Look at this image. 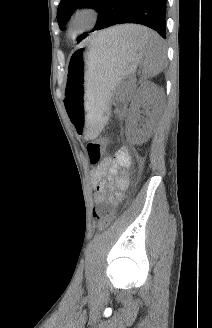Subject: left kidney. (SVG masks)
Here are the masks:
<instances>
[{
  "instance_id": "1",
  "label": "left kidney",
  "mask_w": 212,
  "mask_h": 328,
  "mask_svg": "<svg viewBox=\"0 0 212 328\" xmlns=\"http://www.w3.org/2000/svg\"><path fill=\"white\" fill-rule=\"evenodd\" d=\"M160 99V91L158 87L152 83H146L138 88L136 91L131 105L130 113L128 116L127 124L128 129L132 133V140L135 143H143L152 135L155 127V120L153 114L148 112L150 107H155ZM147 110L149 120L146 124L142 125V128H138V121L140 119V109Z\"/></svg>"
}]
</instances>
